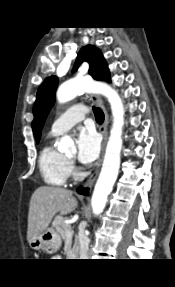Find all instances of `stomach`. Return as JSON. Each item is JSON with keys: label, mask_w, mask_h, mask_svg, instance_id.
I'll use <instances>...</instances> for the list:
<instances>
[{"label": "stomach", "mask_w": 175, "mask_h": 287, "mask_svg": "<svg viewBox=\"0 0 175 287\" xmlns=\"http://www.w3.org/2000/svg\"><path fill=\"white\" fill-rule=\"evenodd\" d=\"M29 246L34 250H43L49 254H53L59 250L61 238L54 229L48 228L34 236L29 241Z\"/></svg>", "instance_id": "1"}]
</instances>
